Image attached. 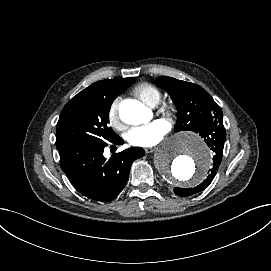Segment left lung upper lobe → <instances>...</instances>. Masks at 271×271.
Returning a JSON list of instances; mask_svg holds the SVG:
<instances>
[{"label":"left lung upper lobe","instance_id":"obj_1","mask_svg":"<svg viewBox=\"0 0 271 271\" xmlns=\"http://www.w3.org/2000/svg\"><path fill=\"white\" fill-rule=\"evenodd\" d=\"M156 83L168 92L177 106L176 132L199 133L223 118L220 106L199 85L167 76L158 77Z\"/></svg>","mask_w":271,"mask_h":271}]
</instances>
